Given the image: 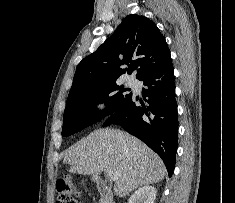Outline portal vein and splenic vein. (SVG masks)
<instances>
[{
  "instance_id": "1",
  "label": "portal vein and splenic vein",
  "mask_w": 235,
  "mask_h": 203,
  "mask_svg": "<svg viewBox=\"0 0 235 203\" xmlns=\"http://www.w3.org/2000/svg\"><path fill=\"white\" fill-rule=\"evenodd\" d=\"M107 174H108V176H109L111 181H115L119 177V173L118 172H113V171L108 170Z\"/></svg>"
}]
</instances>
